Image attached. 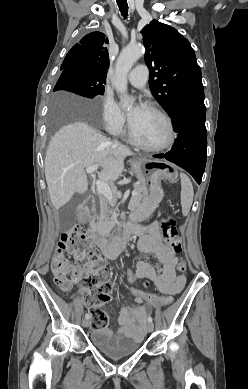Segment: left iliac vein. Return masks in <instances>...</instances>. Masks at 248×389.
Returning a JSON list of instances; mask_svg holds the SVG:
<instances>
[{"instance_id":"left-iliac-vein-1","label":"left iliac vein","mask_w":248,"mask_h":389,"mask_svg":"<svg viewBox=\"0 0 248 389\" xmlns=\"http://www.w3.org/2000/svg\"><path fill=\"white\" fill-rule=\"evenodd\" d=\"M147 330H148V332H152L153 330H154V325H153V323H148V325H147Z\"/></svg>"}]
</instances>
